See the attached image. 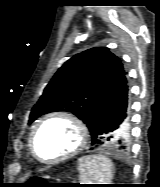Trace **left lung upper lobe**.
<instances>
[{
  "label": "left lung upper lobe",
  "mask_w": 160,
  "mask_h": 187,
  "mask_svg": "<svg viewBox=\"0 0 160 187\" xmlns=\"http://www.w3.org/2000/svg\"><path fill=\"white\" fill-rule=\"evenodd\" d=\"M125 75L120 59L107 48L95 47L73 56L45 87L30 113L29 124L43 114L68 111L91 130L103 105L126 85ZM125 130L126 126H121L114 137ZM122 138L127 149L129 131Z\"/></svg>",
  "instance_id": "1"
}]
</instances>
